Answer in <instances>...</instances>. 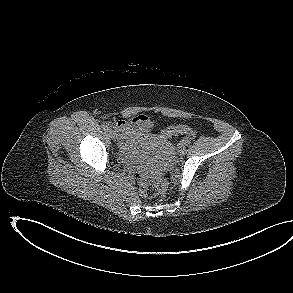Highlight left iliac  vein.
<instances>
[{"instance_id": "4c4485c4", "label": "left iliac vein", "mask_w": 293, "mask_h": 293, "mask_svg": "<svg viewBox=\"0 0 293 293\" xmlns=\"http://www.w3.org/2000/svg\"><path fill=\"white\" fill-rule=\"evenodd\" d=\"M186 152H187L186 148H185V147H181V149H180V154H181V155H185Z\"/></svg>"}]
</instances>
